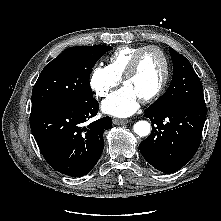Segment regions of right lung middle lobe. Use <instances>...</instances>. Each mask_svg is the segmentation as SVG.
<instances>
[{"label": "right lung middle lobe", "instance_id": "1", "mask_svg": "<svg viewBox=\"0 0 221 221\" xmlns=\"http://www.w3.org/2000/svg\"><path fill=\"white\" fill-rule=\"evenodd\" d=\"M110 46L70 47L48 63L32 90V109L93 100L89 84L92 68Z\"/></svg>", "mask_w": 221, "mask_h": 221}]
</instances>
